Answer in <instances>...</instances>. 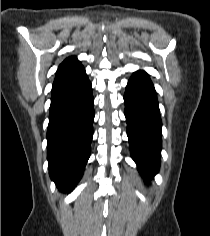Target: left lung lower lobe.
Here are the masks:
<instances>
[{
  "mask_svg": "<svg viewBox=\"0 0 210 236\" xmlns=\"http://www.w3.org/2000/svg\"><path fill=\"white\" fill-rule=\"evenodd\" d=\"M124 102L132 158L140 173L150 178L160 165L162 122L156 92L147 73L138 71L132 75Z\"/></svg>",
  "mask_w": 210,
  "mask_h": 236,
  "instance_id": "left-lung-lower-lobe-1",
  "label": "left lung lower lobe"
}]
</instances>
